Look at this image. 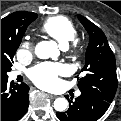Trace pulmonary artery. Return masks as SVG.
Listing matches in <instances>:
<instances>
[{"label":"pulmonary artery","instance_id":"pulmonary-artery-1","mask_svg":"<svg viewBox=\"0 0 121 121\" xmlns=\"http://www.w3.org/2000/svg\"><path fill=\"white\" fill-rule=\"evenodd\" d=\"M19 74H20V72L13 71V72L10 73V77L13 79V78H16ZM80 94H81L80 92H77L76 96H80Z\"/></svg>","mask_w":121,"mask_h":121}]
</instances>
